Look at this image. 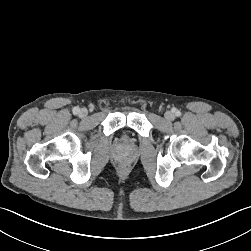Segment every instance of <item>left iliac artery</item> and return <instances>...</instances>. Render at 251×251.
<instances>
[{
  "label": "left iliac artery",
  "mask_w": 251,
  "mask_h": 251,
  "mask_svg": "<svg viewBox=\"0 0 251 251\" xmlns=\"http://www.w3.org/2000/svg\"><path fill=\"white\" fill-rule=\"evenodd\" d=\"M179 114H180V112H179V111H177V112H176V115H179Z\"/></svg>",
  "instance_id": "44dca946"
}]
</instances>
